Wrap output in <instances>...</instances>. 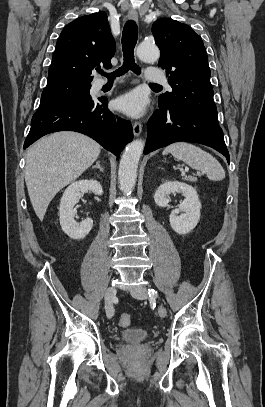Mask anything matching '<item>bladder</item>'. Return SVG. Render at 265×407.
Returning a JSON list of instances; mask_svg holds the SVG:
<instances>
[{"label":"bladder","mask_w":265,"mask_h":407,"mask_svg":"<svg viewBox=\"0 0 265 407\" xmlns=\"http://www.w3.org/2000/svg\"><path fill=\"white\" fill-rule=\"evenodd\" d=\"M152 337V333L142 328H128L122 331L120 339L126 343L138 344Z\"/></svg>","instance_id":"obj_1"}]
</instances>
